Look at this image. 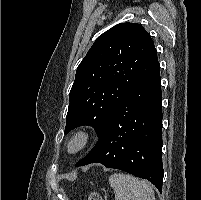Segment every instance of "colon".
<instances>
[{"mask_svg":"<svg viewBox=\"0 0 201 200\" xmlns=\"http://www.w3.org/2000/svg\"><path fill=\"white\" fill-rule=\"evenodd\" d=\"M87 200H103V198L99 193L91 192L89 193Z\"/></svg>","mask_w":201,"mask_h":200,"instance_id":"1","label":"colon"}]
</instances>
